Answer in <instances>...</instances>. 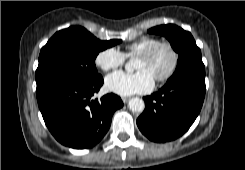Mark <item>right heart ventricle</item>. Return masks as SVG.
Returning <instances> with one entry per match:
<instances>
[{
  "label": "right heart ventricle",
  "instance_id": "e07e8e85",
  "mask_svg": "<svg viewBox=\"0 0 245 170\" xmlns=\"http://www.w3.org/2000/svg\"><path fill=\"white\" fill-rule=\"evenodd\" d=\"M157 41H159V40L154 38V37L140 38V39L128 44L125 47V53L124 54L127 57L137 56L139 53L148 49L150 46H152Z\"/></svg>",
  "mask_w": 245,
  "mask_h": 170
}]
</instances>
